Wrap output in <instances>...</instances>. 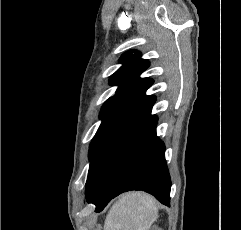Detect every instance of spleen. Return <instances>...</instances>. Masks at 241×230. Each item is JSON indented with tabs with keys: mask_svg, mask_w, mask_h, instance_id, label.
<instances>
[{
	"mask_svg": "<svg viewBox=\"0 0 241 230\" xmlns=\"http://www.w3.org/2000/svg\"><path fill=\"white\" fill-rule=\"evenodd\" d=\"M158 215L157 201L143 192L123 194L111 207L104 230H148Z\"/></svg>",
	"mask_w": 241,
	"mask_h": 230,
	"instance_id": "3e777b00",
	"label": "spleen"
}]
</instances>
